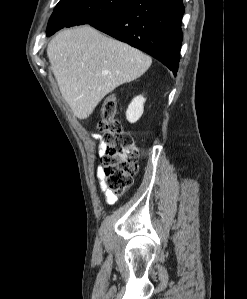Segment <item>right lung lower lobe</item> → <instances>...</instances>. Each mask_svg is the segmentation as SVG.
I'll return each mask as SVG.
<instances>
[{"mask_svg":"<svg viewBox=\"0 0 247 299\" xmlns=\"http://www.w3.org/2000/svg\"><path fill=\"white\" fill-rule=\"evenodd\" d=\"M183 13L182 0H131L116 13L90 25L150 54L176 73Z\"/></svg>","mask_w":247,"mask_h":299,"instance_id":"obj_1","label":"right lung lower lobe"}]
</instances>
